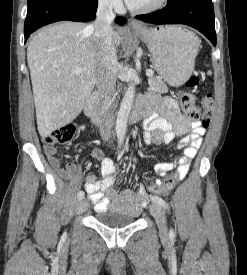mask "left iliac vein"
<instances>
[{
    "label": "left iliac vein",
    "instance_id": "obj_1",
    "mask_svg": "<svg viewBox=\"0 0 247 275\" xmlns=\"http://www.w3.org/2000/svg\"><path fill=\"white\" fill-rule=\"evenodd\" d=\"M149 211H150L151 215L155 218V220L158 224L160 236L163 239H166L168 237V230H167V225H166V217H165L163 209L161 208V206L159 204L154 202L150 206Z\"/></svg>",
    "mask_w": 247,
    "mask_h": 275
}]
</instances>
